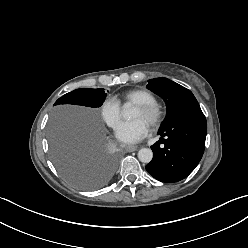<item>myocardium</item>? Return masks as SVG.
Segmentation results:
<instances>
[{"mask_svg":"<svg viewBox=\"0 0 248 248\" xmlns=\"http://www.w3.org/2000/svg\"><path fill=\"white\" fill-rule=\"evenodd\" d=\"M135 107L149 117L148 125L151 128H156L161 124L164 110L162 105L156 100L136 104Z\"/></svg>","mask_w":248,"mask_h":248,"instance_id":"f54148a6","label":"myocardium"}]
</instances>
